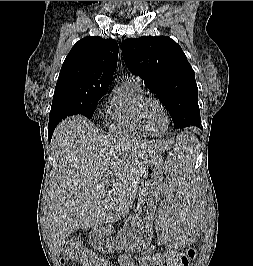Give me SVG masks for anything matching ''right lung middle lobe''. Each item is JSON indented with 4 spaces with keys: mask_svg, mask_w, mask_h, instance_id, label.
Instances as JSON below:
<instances>
[{
    "mask_svg": "<svg viewBox=\"0 0 253 266\" xmlns=\"http://www.w3.org/2000/svg\"><path fill=\"white\" fill-rule=\"evenodd\" d=\"M103 94H105V92H98L80 98L53 100L49 123H58L62 119L75 114H81L90 119L93 116L97 102Z\"/></svg>",
    "mask_w": 253,
    "mask_h": 266,
    "instance_id": "obj_1",
    "label": "right lung middle lobe"
}]
</instances>
